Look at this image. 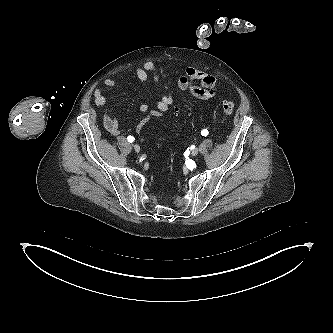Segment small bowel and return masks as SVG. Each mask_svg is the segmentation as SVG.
Returning <instances> with one entry per match:
<instances>
[{"mask_svg": "<svg viewBox=\"0 0 333 333\" xmlns=\"http://www.w3.org/2000/svg\"><path fill=\"white\" fill-rule=\"evenodd\" d=\"M137 78L146 82L150 77L159 87L161 91L160 99L157 103V109L150 110L147 104L140 106L141 112L144 113L141 121L135 126L136 131L140 132L147 123L167 111L173 103V93L178 90H188L192 96L201 100H208L216 94L218 80L209 73L195 68H187L176 76L175 83L170 80V74L163 68L156 66L153 62H145L142 66L135 68ZM118 81L113 78L104 80V85L113 88ZM106 97L101 89L94 91V102L96 106L103 107L106 104ZM105 129L112 136H119L121 133L120 126L115 118L109 112H105L103 116Z\"/></svg>", "mask_w": 333, "mask_h": 333, "instance_id": "c3829d8e", "label": "small bowel"}]
</instances>
